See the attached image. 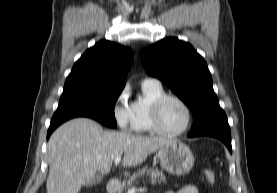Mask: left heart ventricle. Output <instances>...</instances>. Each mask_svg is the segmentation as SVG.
Wrapping results in <instances>:
<instances>
[{
    "instance_id": "left-heart-ventricle-1",
    "label": "left heart ventricle",
    "mask_w": 277,
    "mask_h": 193,
    "mask_svg": "<svg viewBox=\"0 0 277 193\" xmlns=\"http://www.w3.org/2000/svg\"><path fill=\"white\" fill-rule=\"evenodd\" d=\"M187 121L184 107L175 100H167L161 108L162 127L169 132L182 129Z\"/></svg>"
}]
</instances>
